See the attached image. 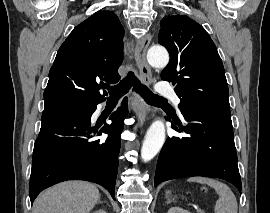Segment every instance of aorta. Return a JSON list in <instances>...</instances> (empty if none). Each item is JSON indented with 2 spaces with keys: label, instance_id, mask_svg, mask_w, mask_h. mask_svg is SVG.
I'll return each mask as SVG.
<instances>
[{
  "label": "aorta",
  "instance_id": "aorta-1",
  "mask_svg": "<svg viewBox=\"0 0 270 213\" xmlns=\"http://www.w3.org/2000/svg\"><path fill=\"white\" fill-rule=\"evenodd\" d=\"M147 60L155 68H164L169 62V55L165 48L154 46L148 50ZM165 142V126L160 120L154 121L145 135L141 158L144 162L153 159Z\"/></svg>",
  "mask_w": 270,
  "mask_h": 213
}]
</instances>
